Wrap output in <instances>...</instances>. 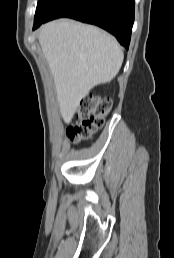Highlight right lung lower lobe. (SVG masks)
Instances as JSON below:
<instances>
[{"label":"right lung lower lobe","mask_w":174,"mask_h":258,"mask_svg":"<svg viewBox=\"0 0 174 258\" xmlns=\"http://www.w3.org/2000/svg\"><path fill=\"white\" fill-rule=\"evenodd\" d=\"M134 3L135 0H61L42 23L68 17L94 24L113 34L128 49L134 23Z\"/></svg>","instance_id":"98d812e1"}]
</instances>
